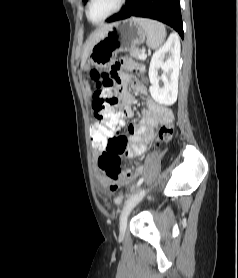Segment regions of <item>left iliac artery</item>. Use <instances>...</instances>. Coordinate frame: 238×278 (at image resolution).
<instances>
[{
	"label": "left iliac artery",
	"mask_w": 238,
	"mask_h": 278,
	"mask_svg": "<svg viewBox=\"0 0 238 278\" xmlns=\"http://www.w3.org/2000/svg\"><path fill=\"white\" fill-rule=\"evenodd\" d=\"M144 181V177L140 178L137 182V187L140 186L142 184V182ZM132 198V196H130L129 200ZM128 203V201H127Z\"/></svg>",
	"instance_id": "44dca946"
}]
</instances>
